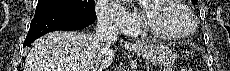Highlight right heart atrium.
Listing matches in <instances>:
<instances>
[{
  "mask_svg": "<svg viewBox=\"0 0 230 71\" xmlns=\"http://www.w3.org/2000/svg\"><path fill=\"white\" fill-rule=\"evenodd\" d=\"M96 14L101 23L118 32H126L135 24V17L119 1H98Z\"/></svg>",
  "mask_w": 230,
  "mask_h": 71,
  "instance_id": "1",
  "label": "right heart atrium"
}]
</instances>
